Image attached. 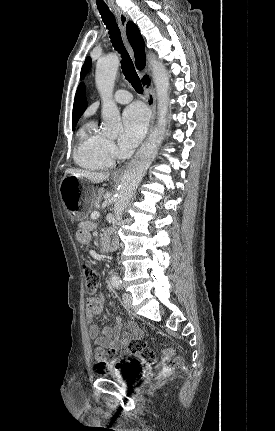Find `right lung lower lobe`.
<instances>
[{
  "label": "right lung lower lobe",
  "instance_id": "1",
  "mask_svg": "<svg viewBox=\"0 0 275 431\" xmlns=\"http://www.w3.org/2000/svg\"><path fill=\"white\" fill-rule=\"evenodd\" d=\"M142 82H143V84H144V85H145V84H148V83H149V77H148V76L144 77V78L142 79Z\"/></svg>",
  "mask_w": 275,
  "mask_h": 431
}]
</instances>
